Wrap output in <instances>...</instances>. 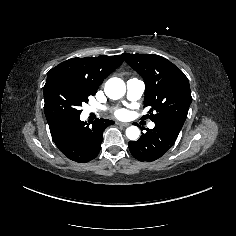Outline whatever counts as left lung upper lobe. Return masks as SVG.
<instances>
[{"mask_svg": "<svg viewBox=\"0 0 236 236\" xmlns=\"http://www.w3.org/2000/svg\"><path fill=\"white\" fill-rule=\"evenodd\" d=\"M126 62L145 81L143 118L156 122L165 118L185 121L192 101L189 81L173 63L159 55L124 54Z\"/></svg>", "mask_w": 236, "mask_h": 236, "instance_id": "5c2ea615", "label": "left lung upper lobe"}]
</instances>
